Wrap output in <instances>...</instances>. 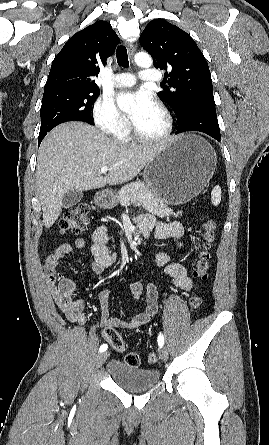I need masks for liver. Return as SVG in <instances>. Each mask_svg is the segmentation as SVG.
I'll return each mask as SVG.
<instances>
[{
	"mask_svg": "<svg viewBox=\"0 0 269 445\" xmlns=\"http://www.w3.org/2000/svg\"><path fill=\"white\" fill-rule=\"evenodd\" d=\"M164 145L125 144L83 122L57 126L42 141L37 157L36 186L44 226L50 228L58 219L67 191L128 182ZM103 166L109 168L105 176L100 173Z\"/></svg>",
	"mask_w": 269,
	"mask_h": 445,
	"instance_id": "liver-1",
	"label": "liver"
}]
</instances>
